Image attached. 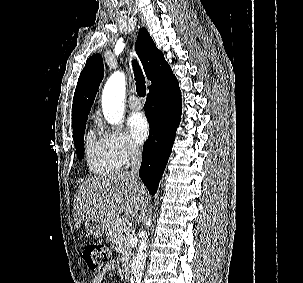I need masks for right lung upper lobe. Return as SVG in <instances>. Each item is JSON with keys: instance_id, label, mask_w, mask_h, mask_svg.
<instances>
[{"instance_id": "obj_1", "label": "right lung upper lobe", "mask_w": 303, "mask_h": 283, "mask_svg": "<svg viewBox=\"0 0 303 283\" xmlns=\"http://www.w3.org/2000/svg\"><path fill=\"white\" fill-rule=\"evenodd\" d=\"M135 48L142 61L146 77L152 82L148 87L149 91L175 77L163 53L157 49L146 28L140 29ZM102 77V57L96 54L87 60L78 79L73 99L72 127L87 120Z\"/></svg>"}]
</instances>
